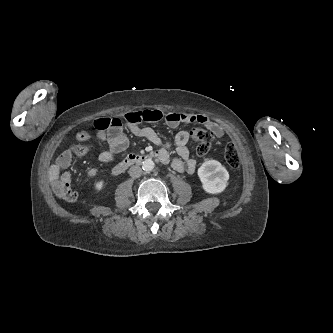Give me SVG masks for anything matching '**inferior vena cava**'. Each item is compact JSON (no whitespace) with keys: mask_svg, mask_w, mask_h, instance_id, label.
<instances>
[{"mask_svg":"<svg viewBox=\"0 0 333 333\" xmlns=\"http://www.w3.org/2000/svg\"><path fill=\"white\" fill-rule=\"evenodd\" d=\"M129 174L131 177L133 178H138L141 176L142 174V169L141 167L139 166H132L130 169H129Z\"/></svg>","mask_w":333,"mask_h":333,"instance_id":"inferior-vena-cava-1","label":"inferior vena cava"}]
</instances>
